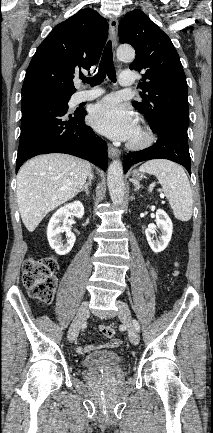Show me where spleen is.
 <instances>
[{
    "label": "spleen",
    "mask_w": 213,
    "mask_h": 433,
    "mask_svg": "<svg viewBox=\"0 0 213 433\" xmlns=\"http://www.w3.org/2000/svg\"><path fill=\"white\" fill-rule=\"evenodd\" d=\"M140 172L155 175L173 210L180 221H189L193 211V196L184 169L168 160L147 161L139 168Z\"/></svg>",
    "instance_id": "obj_1"
}]
</instances>
